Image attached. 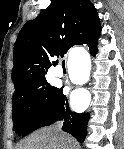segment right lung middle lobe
I'll return each instance as SVG.
<instances>
[{
  "instance_id": "1",
  "label": "right lung middle lobe",
  "mask_w": 124,
  "mask_h": 149,
  "mask_svg": "<svg viewBox=\"0 0 124 149\" xmlns=\"http://www.w3.org/2000/svg\"><path fill=\"white\" fill-rule=\"evenodd\" d=\"M57 90L46 81L45 76L31 85L15 88L12 101L13 130L22 134L28 120L37 111L46 108Z\"/></svg>"
}]
</instances>
